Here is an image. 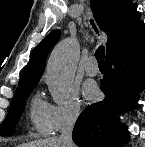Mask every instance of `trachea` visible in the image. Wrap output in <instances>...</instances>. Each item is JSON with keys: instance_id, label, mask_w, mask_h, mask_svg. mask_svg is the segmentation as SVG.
<instances>
[{"instance_id": "1", "label": "trachea", "mask_w": 145, "mask_h": 147, "mask_svg": "<svg viewBox=\"0 0 145 147\" xmlns=\"http://www.w3.org/2000/svg\"><path fill=\"white\" fill-rule=\"evenodd\" d=\"M91 24L93 25L96 32L98 33V30L95 27L93 21H91ZM104 56H105V48L103 46H100L95 52V57H96L97 62H98L99 65H105Z\"/></svg>"}]
</instances>
